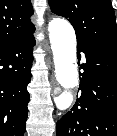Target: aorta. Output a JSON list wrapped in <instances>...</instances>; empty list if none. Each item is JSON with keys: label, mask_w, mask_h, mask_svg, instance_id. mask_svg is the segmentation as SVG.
Returning <instances> with one entry per match:
<instances>
[{"label": "aorta", "mask_w": 117, "mask_h": 136, "mask_svg": "<svg viewBox=\"0 0 117 136\" xmlns=\"http://www.w3.org/2000/svg\"><path fill=\"white\" fill-rule=\"evenodd\" d=\"M55 65V77L63 90H56L55 100L60 108L72 101V89L78 83L76 66V36L72 25L65 19L54 18L48 26Z\"/></svg>", "instance_id": "762f6f07"}]
</instances>
